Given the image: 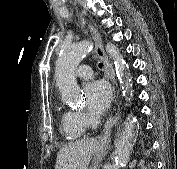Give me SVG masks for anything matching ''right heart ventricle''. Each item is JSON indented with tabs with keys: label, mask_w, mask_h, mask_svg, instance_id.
<instances>
[{
	"label": "right heart ventricle",
	"mask_w": 177,
	"mask_h": 169,
	"mask_svg": "<svg viewBox=\"0 0 177 169\" xmlns=\"http://www.w3.org/2000/svg\"><path fill=\"white\" fill-rule=\"evenodd\" d=\"M61 131L70 140L79 139L84 135V130L75 120L74 112L70 110H64L61 114Z\"/></svg>",
	"instance_id": "e07e8e85"
}]
</instances>
